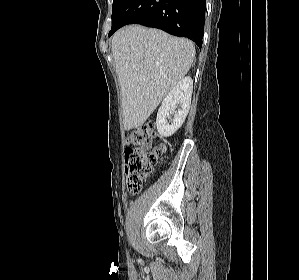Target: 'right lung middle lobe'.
<instances>
[{"mask_svg":"<svg viewBox=\"0 0 299 280\" xmlns=\"http://www.w3.org/2000/svg\"><path fill=\"white\" fill-rule=\"evenodd\" d=\"M124 1L125 0H113L112 22H113L114 18L116 17V15Z\"/></svg>","mask_w":299,"mask_h":280,"instance_id":"1","label":"right lung middle lobe"}]
</instances>
